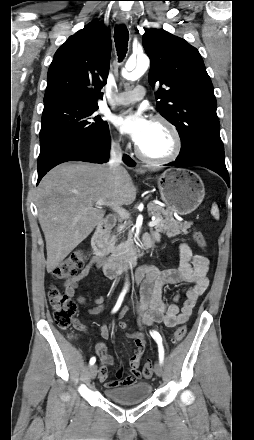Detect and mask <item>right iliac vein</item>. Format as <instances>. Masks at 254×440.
Returning <instances> with one entry per match:
<instances>
[{"label":"right iliac vein","instance_id":"1","mask_svg":"<svg viewBox=\"0 0 254 440\" xmlns=\"http://www.w3.org/2000/svg\"><path fill=\"white\" fill-rule=\"evenodd\" d=\"M98 369L97 365H92L89 369V375L91 379H95L97 375Z\"/></svg>","mask_w":254,"mask_h":440}]
</instances>
